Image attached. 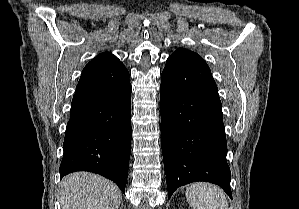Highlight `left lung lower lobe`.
Wrapping results in <instances>:
<instances>
[{
    "mask_svg": "<svg viewBox=\"0 0 299 209\" xmlns=\"http://www.w3.org/2000/svg\"><path fill=\"white\" fill-rule=\"evenodd\" d=\"M160 96L168 197L182 185L207 181L232 198L222 104L207 64L168 58Z\"/></svg>",
    "mask_w": 299,
    "mask_h": 209,
    "instance_id": "0a47b994",
    "label": "left lung lower lobe"
}]
</instances>
